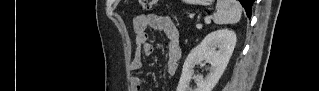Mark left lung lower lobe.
I'll use <instances>...</instances> for the list:
<instances>
[{
  "label": "left lung lower lobe",
  "mask_w": 319,
  "mask_h": 91,
  "mask_svg": "<svg viewBox=\"0 0 319 91\" xmlns=\"http://www.w3.org/2000/svg\"><path fill=\"white\" fill-rule=\"evenodd\" d=\"M239 1L245 8L247 16L250 18L252 15V5L254 3V0H239Z\"/></svg>",
  "instance_id": "left-lung-lower-lobe-1"
}]
</instances>
